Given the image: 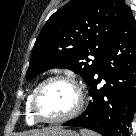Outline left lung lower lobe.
I'll list each match as a JSON object with an SVG mask.
<instances>
[{
  "label": "left lung lower lobe",
  "instance_id": "left-lung-lower-lobe-1",
  "mask_svg": "<svg viewBox=\"0 0 136 136\" xmlns=\"http://www.w3.org/2000/svg\"><path fill=\"white\" fill-rule=\"evenodd\" d=\"M105 81L102 87H97ZM92 101L63 126L93 130L103 136H129L136 109V22L131 9L108 43L88 84Z\"/></svg>",
  "mask_w": 136,
  "mask_h": 136
}]
</instances>
